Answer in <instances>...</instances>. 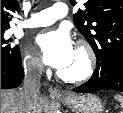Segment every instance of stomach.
Here are the masks:
<instances>
[{"mask_svg": "<svg viewBox=\"0 0 123 113\" xmlns=\"http://www.w3.org/2000/svg\"><path fill=\"white\" fill-rule=\"evenodd\" d=\"M70 109L79 113H102L103 104L95 95H76L58 97Z\"/></svg>", "mask_w": 123, "mask_h": 113, "instance_id": "stomach-1", "label": "stomach"}]
</instances>
